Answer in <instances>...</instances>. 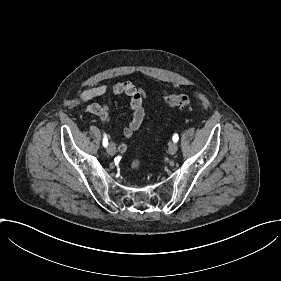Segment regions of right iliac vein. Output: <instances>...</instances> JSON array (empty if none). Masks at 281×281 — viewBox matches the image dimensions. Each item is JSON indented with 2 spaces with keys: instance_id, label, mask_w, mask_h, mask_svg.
Returning <instances> with one entry per match:
<instances>
[{
  "instance_id": "obj_1",
  "label": "right iliac vein",
  "mask_w": 281,
  "mask_h": 281,
  "mask_svg": "<svg viewBox=\"0 0 281 281\" xmlns=\"http://www.w3.org/2000/svg\"><path fill=\"white\" fill-rule=\"evenodd\" d=\"M107 154L113 155L116 152V146L113 143L108 144L107 149H106Z\"/></svg>"
}]
</instances>
